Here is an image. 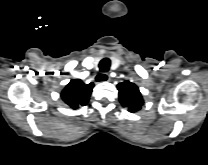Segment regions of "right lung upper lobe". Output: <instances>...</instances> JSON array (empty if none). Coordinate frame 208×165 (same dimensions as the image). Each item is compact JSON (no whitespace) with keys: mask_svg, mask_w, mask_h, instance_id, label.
I'll use <instances>...</instances> for the list:
<instances>
[{"mask_svg":"<svg viewBox=\"0 0 208 165\" xmlns=\"http://www.w3.org/2000/svg\"><path fill=\"white\" fill-rule=\"evenodd\" d=\"M94 84H84L80 79L71 80L61 93V98L72 109L85 106L92 93Z\"/></svg>","mask_w":208,"mask_h":165,"instance_id":"1","label":"right lung upper lobe"}]
</instances>
